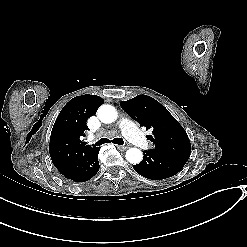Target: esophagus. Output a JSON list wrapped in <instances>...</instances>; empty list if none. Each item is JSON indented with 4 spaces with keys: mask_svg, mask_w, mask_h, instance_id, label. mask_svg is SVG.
Here are the masks:
<instances>
[{
    "mask_svg": "<svg viewBox=\"0 0 247 247\" xmlns=\"http://www.w3.org/2000/svg\"><path fill=\"white\" fill-rule=\"evenodd\" d=\"M117 148L121 151H125L126 149H128V147L126 146H117Z\"/></svg>",
    "mask_w": 247,
    "mask_h": 247,
    "instance_id": "esophagus-1",
    "label": "esophagus"
}]
</instances>
